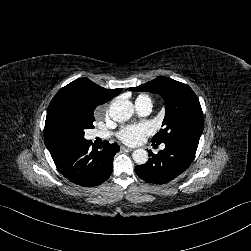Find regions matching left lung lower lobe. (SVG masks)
Returning <instances> with one entry per match:
<instances>
[{
	"label": "left lung lower lobe",
	"mask_w": 251,
	"mask_h": 251,
	"mask_svg": "<svg viewBox=\"0 0 251 251\" xmlns=\"http://www.w3.org/2000/svg\"><path fill=\"white\" fill-rule=\"evenodd\" d=\"M198 143L187 139H176L165 143L158 154L149 151L150 158L135 167L136 174L148 183L164 184L182 174L195 157Z\"/></svg>",
	"instance_id": "0a47b994"
}]
</instances>
